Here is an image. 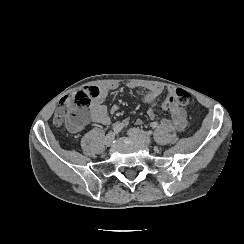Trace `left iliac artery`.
Returning <instances> with one entry per match:
<instances>
[{"label":"left iliac artery","mask_w":244,"mask_h":244,"mask_svg":"<svg viewBox=\"0 0 244 244\" xmlns=\"http://www.w3.org/2000/svg\"><path fill=\"white\" fill-rule=\"evenodd\" d=\"M151 127H152V128H157V127H158V123H157V122H153V123L151 124Z\"/></svg>","instance_id":"1"}]
</instances>
